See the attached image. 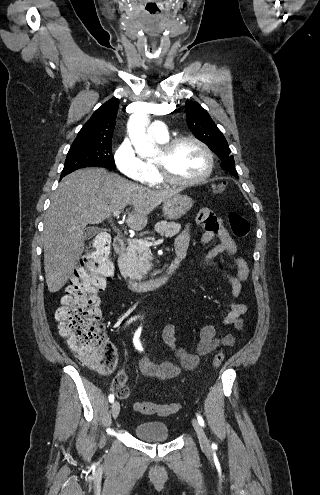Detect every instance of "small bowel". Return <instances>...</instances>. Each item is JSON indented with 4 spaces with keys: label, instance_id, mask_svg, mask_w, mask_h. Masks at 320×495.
<instances>
[{
    "label": "small bowel",
    "instance_id": "c3829d8e",
    "mask_svg": "<svg viewBox=\"0 0 320 495\" xmlns=\"http://www.w3.org/2000/svg\"><path fill=\"white\" fill-rule=\"evenodd\" d=\"M197 221L204 229L201 237L202 245H207L215 239L219 241L215 247L207 252L204 263L220 269L231 287L233 299H237L242 291V282L247 280L249 276V268L246 260L237 255L238 246L236 241L230 235L223 220L217 217L210 209H202L198 214ZM189 242L190 225L188 224L176 239V251L186 254ZM222 253L228 254L232 257L235 274H231L220 268L214 261V258ZM247 309L246 304L237 303L234 300L231 301L229 304V312L225 317H223L222 324L225 326L232 325L237 329H241L243 325L242 317L247 312ZM176 331V325L174 323H169L162 329L161 337L163 341L174 351L179 365L172 363L157 364L148 356H143L139 360V369L144 376L157 378L160 380H167L177 377L183 370H193L198 367L201 358L211 354L219 346H230L234 342V338L231 335H226L221 338L216 337L215 326L213 324H208L202 328L194 351L190 352L177 344Z\"/></svg>",
    "mask_w": 320,
    "mask_h": 495
}]
</instances>
